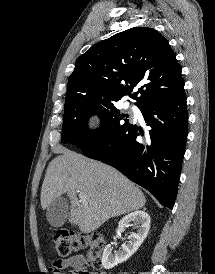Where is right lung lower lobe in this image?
Masks as SVG:
<instances>
[{
  "label": "right lung lower lobe",
  "mask_w": 215,
  "mask_h": 274,
  "mask_svg": "<svg viewBox=\"0 0 215 274\" xmlns=\"http://www.w3.org/2000/svg\"><path fill=\"white\" fill-rule=\"evenodd\" d=\"M139 109L150 127L147 134L131 123L104 143L83 152L115 167L172 209L188 134L186 95L154 99Z\"/></svg>",
  "instance_id": "98d812e1"
}]
</instances>
